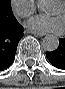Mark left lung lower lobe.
<instances>
[{"instance_id":"0a47b994","label":"left lung lower lobe","mask_w":65,"mask_h":89,"mask_svg":"<svg viewBox=\"0 0 65 89\" xmlns=\"http://www.w3.org/2000/svg\"><path fill=\"white\" fill-rule=\"evenodd\" d=\"M46 56L53 66L65 70V38L59 39V47L55 51L47 52Z\"/></svg>"}]
</instances>
